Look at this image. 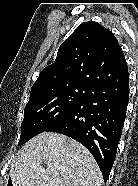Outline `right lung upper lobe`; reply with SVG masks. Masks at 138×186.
<instances>
[{
	"instance_id": "1",
	"label": "right lung upper lobe",
	"mask_w": 138,
	"mask_h": 186,
	"mask_svg": "<svg viewBox=\"0 0 138 186\" xmlns=\"http://www.w3.org/2000/svg\"><path fill=\"white\" fill-rule=\"evenodd\" d=\"M127 80V63L116 37L89 21L60 45L55 62L40 72L30 94L69 85H120Z\"/></svg>"
}]
</instances>
